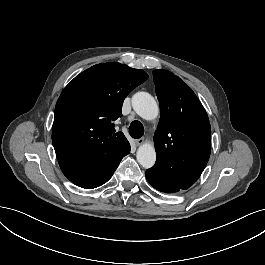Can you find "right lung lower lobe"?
I'll return each mask as SVG.
<instances>
[{"instance_id":"right-lung-lower-lobe-1","label":"right lung lower lobe","mask_w":265,"mask_h":265,"mask_svg":"<svg viewBox=\"0 0 265 265\" xmlns=\"http://www.w3.org/2000/svg\"><path fill=\"white\" fill-rule=\"evenodd\" d=\"M129 152L130 144L125 142L114 144L101 152H61L56 156L62 172L72 183L92 189L106 183Z\"/></svg>"}]
</instances>
